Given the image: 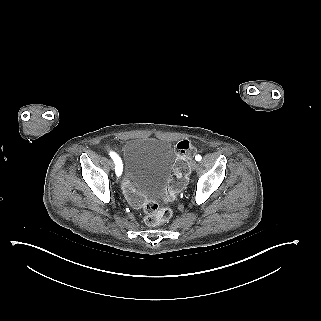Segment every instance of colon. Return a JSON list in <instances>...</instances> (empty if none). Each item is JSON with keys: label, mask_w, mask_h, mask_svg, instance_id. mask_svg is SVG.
Masks as SVG:
<instances>
[{"label": "colon", "mask_w": 321, "mask_h": 321, "mask_svg": "<svg viewBox=\"0 0 321 321\" xmlns=\"http://www.w3.org/2000/svg\"><path fill=\"white\" fill-rule=\"evenodd\" d=\"M176 161L174 164L173 176L170 180L169 190L166 195L167 200H172L178 191L185 185L190 168L189 163L195 152L194 146L187 140L180 141L176 147ZM128 201L135 208L144 212V222L148 226H158L167 222L172 212L167 207H160L156 202L144 201L135 195L127 186H124Z\"/></svg>", "instance_id": "1"}]
</instances>
